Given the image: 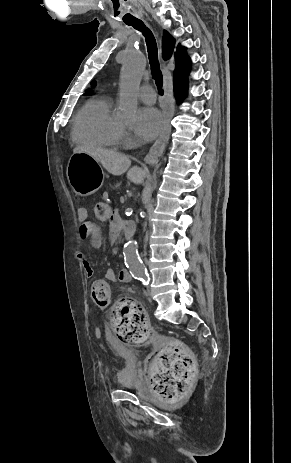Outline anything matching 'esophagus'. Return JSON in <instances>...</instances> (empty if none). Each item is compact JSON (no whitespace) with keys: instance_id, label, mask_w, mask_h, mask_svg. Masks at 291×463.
<instances>
[{"instance_id":"esophagus-1","label":"esophagus","mask_w":291,"mask_h":463,"mask_svg":"<svg viewBox=\"0 0 291 463\" xmlns=\"http://www.w3.org/2000/svg\"><path fill=\"white\" fill-rule=\"evenodd\" d=\"M168 101H169V98L166 92L165 103L167 104ZM163 120H164L163 131L161 132L158 139L155 141V143L150 148L148 154L144 157V162L147 164H152L158 160V158L162 155L166 147V144L169 140L171 126H170V116H169L167 105L165 106L164 111H163Z\"/></svg>"}]
</instances>
